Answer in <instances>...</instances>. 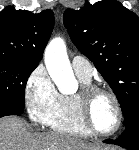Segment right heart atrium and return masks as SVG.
Returning a JSON list of instances; mask_svg holds the SVG:
<instances>
[{"label": "right heart atrium", "mask_w": 139, "mask_h": 150, "mask_svg": "<svg viewBox=\"0 0 139 150\" xmlns=\"http://www.w3.org/2000/svg\"><path fill=\"white\" fill-rule=\"evenodd\" d=\"M24 96L30 119L38 125L46 124L59 93L42 65L37 66L28 76Z\"/></svg>", "instance_id": "d8ad5b80"}]
</instances>
